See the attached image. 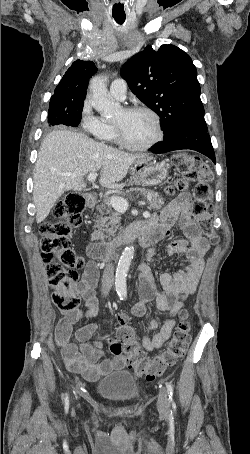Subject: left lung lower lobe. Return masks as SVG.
Masks as SVG:
<instances>
[{
    "mask_svg": "<svg viewBox=\"0 0 250 454\" xmlns=\"http://www.w3.org/2000/svg\"><path fill=\"white\" fill-rule=\"evenodd\" d=\"M181 149L198 151L216 163L205 120L193 121L181 126L170 137L153 145L150 151L161 154Z\"/></svg>",
    "mask_w": 250,
    "mask_h": 454,
    "instance_id": "1",
    "label": "left lung lower lobe"
}]
</instances>
